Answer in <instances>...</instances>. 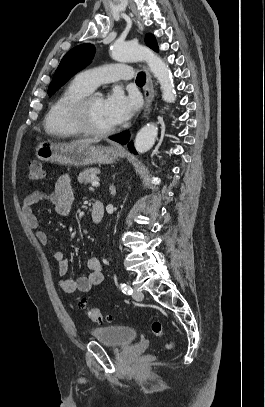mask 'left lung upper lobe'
Listing matches in <instances>:
<instances>
[{
    "label": "left lung upper lobe",
    "instance_id": "obj_1",
    "mask_svg": "<svg viewBox=\"0 0 265 407\" xmlns=\"http://www.w3.org/2000/svg\"><path fill=\"white\" fill-rule=\"evenodd\" d=\"M145 43L153 50L158 51L156 39L152 34L146 35ZM94 53L95 47L92 44H81L71 49L60 62L48 87V95L51 96L64 85L70 77L89 64Z\"/></svg>",
    "mask_w": 265,
    "mask_h": 407
}]
</instances>
